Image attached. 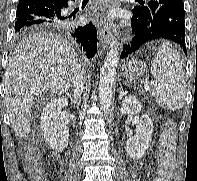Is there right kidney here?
<instances>
[{
  "mask_svg": "<svg viewBox=\"0 0 197 181\" xmlns=\"http://www.w3.org/2000/svg\"><path fill=\"white\" fill-rule=\"evenodd\" d=\"M66 106H68L67 98H54L46 104L42 111L40 127L44 140L50 148L57 151H63L69 142V128L61 116L62 109Z\"/></svg>",
  "mask_w": 197,
  "mask_h": 181,
  "instance_id": "ca27d5eb",
  "label": "right kidney"
}]
</instances>
